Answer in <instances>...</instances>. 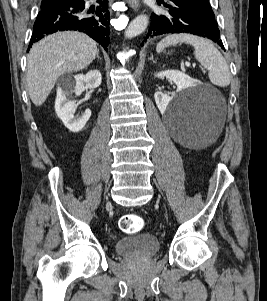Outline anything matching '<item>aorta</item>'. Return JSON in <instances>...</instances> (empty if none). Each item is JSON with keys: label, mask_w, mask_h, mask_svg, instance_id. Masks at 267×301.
Returning a JSON list of instances; mask_svg holds the SVG:
<instances>
[{"label": "aorta", "mask_w": 267, "mask_h": 301, "mask_svg": "<svg viewBox=\"0 0 267 301\" xmlns=\"http://www.w3.org/2000/svg\"><path fill=\"white\" fill-rule=\"evenodd\" d=\"M148 25V16L141 14L133 19L124 32L126 39L134 38L145 31Z\"/></svg>", "instance_id": "obj_1"}]
</instances>
